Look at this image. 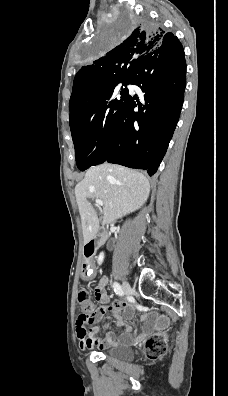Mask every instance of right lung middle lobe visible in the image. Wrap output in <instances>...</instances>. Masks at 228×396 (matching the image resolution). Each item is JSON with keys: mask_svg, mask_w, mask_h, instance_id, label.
<instances>
[{"mask_svg": "<svg viewBox=\"0 0 228 396\" xmlns=\"http://www.w3.org/2000/svg\"><path fill=\"white\" fill-rule=\"evenodd\" d=\"M133 16H127L112 30L105 32L92 46L90 57L103 55L119 40L123 39L137 24ZM141 25V23H140ZM129 84V80L116 82L97 97L81 114L70 120V129L75 147L77 167L84 171L90 166L101 164L107 155L108 143L116 118L128 95V89L116 86Z\"/></svg>", "mask_w": 228, "mask_h": 396, "instance_id": "obj_1", "label": "right lung middle lobe"}]
</instances>
